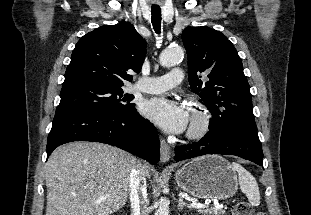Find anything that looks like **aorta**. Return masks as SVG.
I'll return each mask as SVG.
<instances>
[{"mask_svg":"<svg viewBox=\"0 0 311 215\" xmlns=\"http://www.w3.org/2000/svg\"><path fill=\"white\" fill-rule=\"evenodd\" d=\"M184 56L183 49L180 46H174L165 49L159 57L160 64L165 67L176 65ZM155 215H169V203L166 198H161L158 203V209Z\"/></svg>","mask_w":311,"mask_h":215,"instance_id":"762f6f07","label":"aorta"}]
</instances>
